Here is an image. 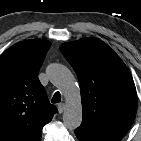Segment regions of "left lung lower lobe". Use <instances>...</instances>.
Masks as SVG:
<instances>
[{
    "label": "left lung lower lobe",
    "instance_id": "1",
    "mask_svg": "<svg viewBox=\"0 0 141 141\" xmlns=\"http://www.w3.org/2000/svg\"><path fill=\"white\" fill-rule=\"evenodd\" d=\"M76 136H77V138L79 139V141H89V140L83 138L81 135H79V134H77V133H76Z\"/></svg>",
    "mask_w": 141,
    "mask_h": 141
}]
</instances>
